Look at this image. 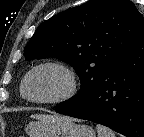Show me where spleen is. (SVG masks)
<instances>
[{
    "instance_id": "1",
    "label": "spleen",
    "mask_w": 144,
    "mask_h": 137,
    "mask_svg": "<svg viewBox=\"0 0 144 137\" xmlns=\"http://www.w3.org/2000/svg\"><path fill=\"white\" fill-rule=\"evenodd\" d=\"M96 129L98 132V137H115V133L103 125L98 124Z\"/></svg>"
}]
</instances>
